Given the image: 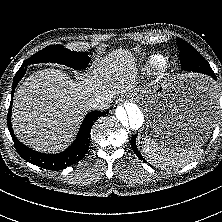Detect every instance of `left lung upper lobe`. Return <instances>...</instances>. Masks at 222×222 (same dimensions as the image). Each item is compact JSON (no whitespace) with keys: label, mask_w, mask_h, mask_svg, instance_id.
<instances>
[{"label":"left lung upper lobe","mask_w":222,"mask_h":222,"mask_svg":"<svg viewBox=\"0 0 222 222\" xmlns=\"http://www.w3.org/2000/svg\"><path fill=\"white\" fill-rule=\"evenodd\" d=\"M177 42L180 50L181 68L185 61L192 59L194 64L200 66L203 71H213L209 63L190 44L181 38H177Z\"/></svg>","instance_id":"left-lung-upper-lobe-1"}]
</instances>
